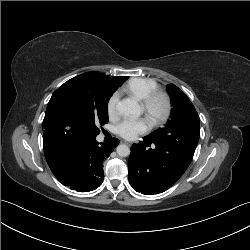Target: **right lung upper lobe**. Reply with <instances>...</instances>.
<instances>
[{
	"instance_id": "1",
	"label": "right lung upper lobe",
	"mask_w": 250,
	"mask_h": 250,
	"mask_svg": "<svg viewBox=\"0 0 250 250\" xmlns=\"http://www.w3.org/2000/svg\"><path fill=\"white\" fill-rule=\"evenodd\" d=\"M111 78L113 80L117 81V82H121V84H122L128 77L127 76H119V77H111ZM54 142H56V140H53L52 138H50L49 136L44 134V136H43V146L47 147L50 144H53Z\"/></svg>"
}]
</instances>
